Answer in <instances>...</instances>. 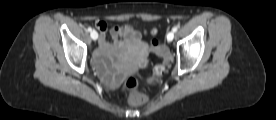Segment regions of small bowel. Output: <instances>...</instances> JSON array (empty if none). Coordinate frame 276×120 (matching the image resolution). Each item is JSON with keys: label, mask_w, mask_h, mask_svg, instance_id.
<instances>
[{"label": "small bowel", "mask_w": 276, "mask_h": 120, "mask_svg": "<svg viewBox=\"0 0 276 120\" xmlns=\"http://www.w3.org/2000/svg\"><path fill=\"white\" fill-rule=\"evenodd\" d=\"M96 28L100 33L99 48L95 54V68L97 73L109 85H116L120 80L116 57L125 48L139 43L140 34L130 25L116 26L110 29L113 42L108 41V24L98 21Z\"/></svg>", "instance_id": "obj_1"}]
</instances>
